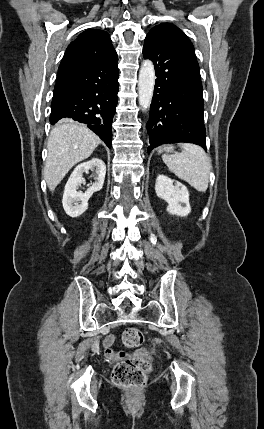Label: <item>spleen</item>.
Segmentation results:
<instances>
[{
	"mask_svg": "<svg viewBox=\"0 0 264 429\" xmlns=\"http://www.w3.org/2000/svg\"><path fill=\"white\" fill-rule=\"evenodd\" d=\"M181 153L162 156L164 163L179 179L186 181L199 192H206L211 163L206 152L198 145L181 143Z\"/></svg>",
	"mask_w": 264,
	"mask_h": 429,
	"instance_id": "1",
	"label": "spleen"
}]
</instances>
